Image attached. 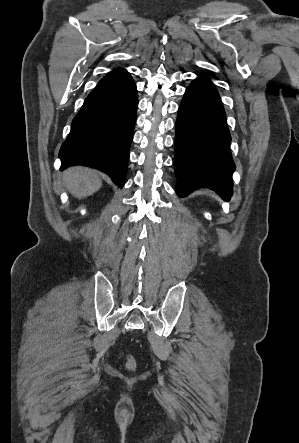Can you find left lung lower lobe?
<instances>
[{"instance_id":"obj_1","label":"left lung lower lobe","mask_w":299,"mask_h":443,"mask_svg":"<svg viewBox=\"0 0 299 443\" xmlns=\"http://www.w3.org/2000/svg\"><path fill=\"white\" fill-rule=\"evenodd\" d=\"M230 140L218 92L208 78L200 76L187 88L176 121L174 167L179 197L206 187L224 200L231 198L235 164Z\"/></svg>"}]
</instances>
